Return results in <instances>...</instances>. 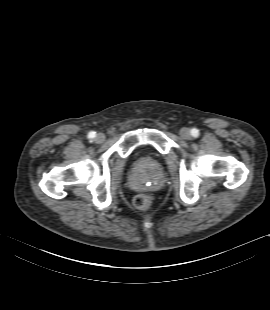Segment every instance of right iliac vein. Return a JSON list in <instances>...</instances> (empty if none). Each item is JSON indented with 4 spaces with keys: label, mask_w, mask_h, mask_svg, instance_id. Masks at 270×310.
I'll use <instances>...</instances> for the list:
<instances>
[{
    "label": "right iliac vein",
    "mask_w": 270,
    "mask_h": 310,
    "mask_svg": "<svg viewBox=\"0 0 270 310\" xmlns=\"http://www.w3.org/2000/svg\"><path fill=\"white\" fill-rule=\"evenodd\" d=\"M104 140H105V135L102 134V133L97 134L96 137H95V141L97 143H103Z\"/></svg>",
    "instance_id": "obj_1"
}]
</instances>
